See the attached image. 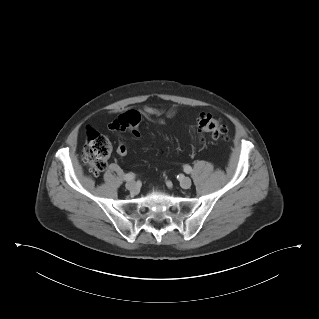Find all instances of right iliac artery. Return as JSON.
I'll list each match as a JSON object with an SVG mask.
<instances>
[{
  "instance_id": "obj_1",
  "label": "right iliac artery",
  "mask_w": 319,
  "mask_h": 319,
  "mask_svg": "<svg viewBox=\"0 0 319 319\" xmlns=\"http://www.w3.org/2000/svg\"><path fill=\"white\" fill-rule=\"evenodd\" d=\"M135 178V174L134 173H128L124 176V180L125 181H131Z\"/></svg>"
}]
</instances>
